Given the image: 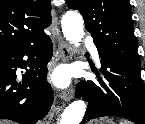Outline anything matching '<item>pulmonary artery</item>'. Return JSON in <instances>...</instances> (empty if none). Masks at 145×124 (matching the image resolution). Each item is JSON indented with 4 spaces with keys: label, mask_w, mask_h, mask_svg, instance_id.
<instances>
[{
    "label": "pulmonary artery",
    "mask_w": 145,
    "mask_h": 124,
    "mask_svg": "<svg viewBox=\"0 0 145 124\" xmlns=\"http://www.w3.org/2000/svg\"><path fill=\"white\" fill-rule=\"evenodd\" d=\"M88 48L93 56V58L99 62V54H98V51L96 49V47L94 45H88Z\"/></svg>",
    "instance_id": "pulmonary-artery-1"
}]
</instances>
